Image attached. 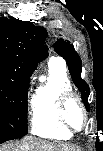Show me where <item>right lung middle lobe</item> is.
Masks as SVG:
<instances>
[{"instance_id": "1", "label": "right lung middle lobe", "mask_w": 103, "mask_h": 151, "mask_svg": "<svg viewBox=\"0 0 103 151\" xmlns=\"http://www.w3.org/2000/svg\"><path fill=\"white\" fill-rule=\"evenodd\" d=\"M29 80L0 74V143L27 134V89Z\"/></svg>"}]
</instances>
